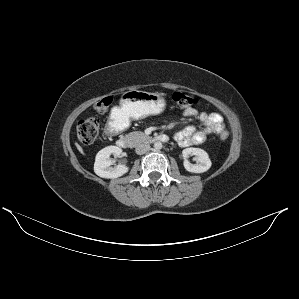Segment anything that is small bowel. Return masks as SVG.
<instances>
[{"mask_svg": "<svg viewBox=\"0 0 299 299\" xmlns=\"http://www.w3.org/2000/svg\"><path fill=\"white\" fill-rule=\"evenodd\" d=\"M185 117H194L203 125L201 130L190 125L177 132L175 141L181 147L199 145L203 143L210 135L220 134L225 130V125L221 115L217 113L200 112L194 108H187L182 111Z\"/></svg>", "mask_w": 299, "mask_h": 299, "instance_id": "small-bowel-1", "label": "small bowel"}]
</instances>
